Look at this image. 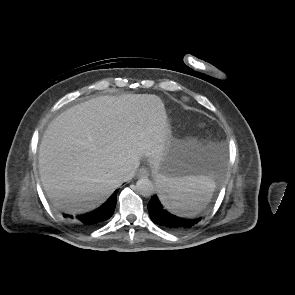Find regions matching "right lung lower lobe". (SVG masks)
Listing matches in <instances>:
<instances>
[{
  "instance_id": "right-lung-lower-lobe-1",
  "label": "right lung lower lobe",
  "mask_w": 295,
  "mask_h": 295,
  "mask_svg": "<svg viewBox=\"0 0 295 295\" xmlns=\"http://www.w3.org/2000/svg\"><path fill=\"white\" fill-rule=\"evenodd\" d=\"M116 191L102 206L98 209L86 213L83 215H79L77 218L84 224L86 227H95L103 224L106 220H108L114 212L116 206Z\"/></svg>"
}]
</instances>
